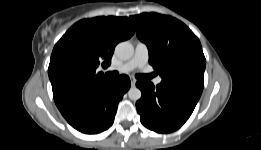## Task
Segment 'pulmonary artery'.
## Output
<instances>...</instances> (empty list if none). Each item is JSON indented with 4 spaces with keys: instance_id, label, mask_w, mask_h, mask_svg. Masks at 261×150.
Returning a JSON list of instances; mask_svg holds the SVG:
<instances>
[{
    "instance_id": "pulmonary-artery-1",
    "label": "pulmonary artery",
    "mask_w": 261,
    "mask_h": 150,
    "mask_svg": "<svg viewBox=\"0 0 261 150\" xmlns=\"http://www.w3.org/2000/svg\"><path fill=\"white\" fill-rule=\"evenodd\" d=\"M149 60V50L146 44L139 42L135 47V52L133 57L127 62L123 63L117 69L122 72H129L136 68H143ZM162 81L161 76L154 79L156 85L160 84Z\"/></svg>"
}]
</instances>
